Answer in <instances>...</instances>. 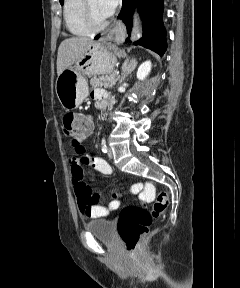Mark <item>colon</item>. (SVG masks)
I'll list each match as a JSON object with an SVG mask.
<instances>
[{"mask_svg":"<svg viewBox=\"0 0 240 288\" xmlns=\"http://www.w3.org/2000/svg\"><path fill=\"white\" fill-rule=\"evenodd\" d=\"M62 127L64 133L72 139L82 138L90 133L92 119L86 114L67 113L63 117ZM168 204V194L160 191L152 210L139 205H130L122 209L118 220V231L127 252H136L153 219L161 215Z\"/></svg>","mask_w":240,"mask_h":288,"instance_id":"obj_1","label":"colon"}]
</instances>
